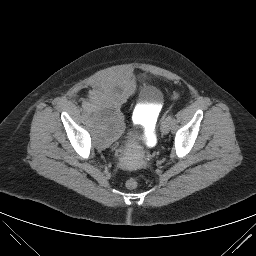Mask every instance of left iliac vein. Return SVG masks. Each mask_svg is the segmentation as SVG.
Listing matches in <instances>:
<instances>
[{
    "label": "left iliac vein",
    "mask_w": 256,
    "mask_h": 256,
    "mask_svg": "<svg viewBox=\"0 0 256 256\" xmlns=\"http://www.w3.org/2000/svg\"><path fill=\"white\" fill-rule=\"evenodd\" d=\"M170 125H171V121H169V120H167V119H165L163 122H162V124H161V132L163 133V134H167L168 132H169V130H170Z\"/></svg>",
    "instance_id": "obj_1"
}]
</instances>
